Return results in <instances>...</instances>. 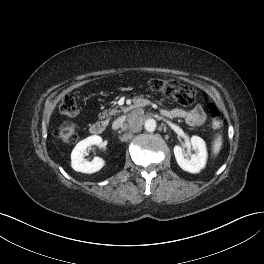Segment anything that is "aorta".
<instances>
[{"label":"aorta","mask_w":264,"mask_h":264,"mask_svg":"<svg viewBox=\"0 0 264 264\" xmlns=\"http://www.w3.org/2000/svg\"><path fill=\"white\" fill-rule=\"evenodd\" d=\"M144 127H145L146 131L153 132V131H155V129L157 127V123L154 119H147L144 122Z\"/></svg>","instance_id":"1"}]
</instances>
